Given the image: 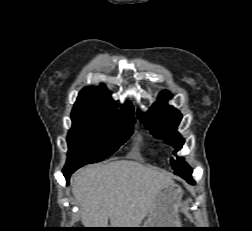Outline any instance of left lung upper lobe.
Returning <instances> with one entry per match:
<instances>
[{
    "instance_id": "1",
    "label": "left lung upper lobe",
    "mask_w": 252,
    "mask_h": 231,
    "mask_svg": "<svg viewBox=\"0 0 252 231\" xmlns=\"http://www.w3.org/2000/svg\"><path fill=\"white\" fill-rule=\"evenodd\" d=\"M170 98V92H161L157 102L152 105L147 113L140 116V120L145 123L146 127L150 128L151 134L155 137L162 138L167 143L174 145L176 147V153L184 144V139L177 132V127L182 119V115L176 108L168 105L167 101ZM171 163L177 175L192 172L191 168L181 157L177 158V160L171 159Z\"/></svg>"
}]
</instances>
